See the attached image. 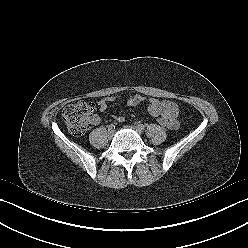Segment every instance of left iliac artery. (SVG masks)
I'll use <instances>...</instances> for the list:
<instances>
[{
    "label": "left iliac artery",
    "instance_id": "obj_1",
    "mask_svg": "<svg viewBox=\"0 0 248 248\" xmlns=\"http://www.w3.org/2000/svg\"><path fill=\"white\" fill-rule=\"evenodd\" d=\"M137 127L140 129V130H144L145 129V126L143 124H138Z\"/></svg>",
    "mask_w": 248,
    "mask_h": 248
}]
</instances>
